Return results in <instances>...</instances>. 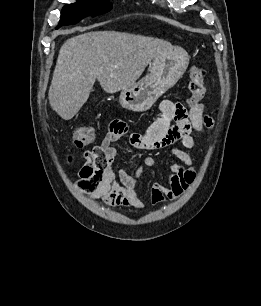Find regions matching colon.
Wrapping results in <instances>:
<instances>
[{"instance_id": "obj_1", "label": "colon", "mask_w": 261, "mask_h": 306, "mask_svg": "<svg viewBox=\"0 0 261 306\" xmlns=\"http://www.w3.org/2000/svg\"><path fill=\"white\" fill-rule=\"evenodd\" d=\"M206 72L200 65H193L189 70L188 88L190 91L189 102L191 106L199 103L206 91L205 85ZM93 140V131L88 126L78 127L73 135V143L77 148H84L91 144ZM86 158H89L97 169L105 167L107 160L105 151L101 146H94L91 150L85 154ZM79 186L85 189L93 187L92 183L86 179L80 177L78 182Z\"/></svg>"}]
</instances>
